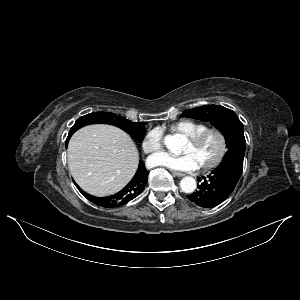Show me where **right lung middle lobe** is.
I'll return each mask as SVG.
<instances>
[{"label":"right lung middle lobe","mask_w":300,"mask_h":300,"mask_svg":"<svg viewBox=\"0 0 300 300\" xmlns=\"http://www.w3.org/2000/svg\"><path fill=\"white\" fill-rule=\"evenodd\" d=\"M96 123H103V124H111L117 126L130 134L132 138L143 140L145 136V123H133L121 116H117L111 113L105 112H97V113H90L85 116L80 117L75 124L72 126L67 141L71 137V135L78 130L79 128L88 125V124H96Z\"/></svg>","instance_id":"dd1d6c3e"}]
</instances>
